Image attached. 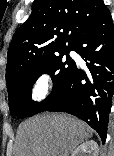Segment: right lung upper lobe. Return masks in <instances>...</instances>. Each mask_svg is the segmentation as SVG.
<instances>
[{
	"mask_svg": "<svg viewBox=\"0 0 114 156\" xmlns=\"http://www.w3.org/2000/svg\"><path fill=\"white\" fill-rule=\"evenodd\" d=\"M106 9L102 0H35L30 17L17 29L9 46L7 88L21 73L72 50Z\"/></svg>",
	"mask_w": 114,
	"mask_h": 156,
	"instance_id": "1",
	"label": "right lung upper lobe"
}]
</instances>
